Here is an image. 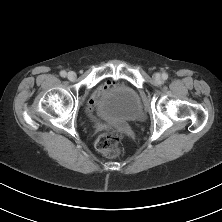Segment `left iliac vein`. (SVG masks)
<instances>
[{
	"label": "left iliac vein",
	"mask_w": 222,
	"mask_h": 222,
	"mask_svg": "<svg viewBox=\"0 0 222 222\" xmlns=\"http://www.w3.org/2000/svg\"><path fill=\"white\" fill-rule=\"evenodd\" d=\"M154 79L156 82H161V80H162L161 75L158 73L154 75Z\"/></svg>",
	"instance_id": "4c4485c4"
}]
</instances>
